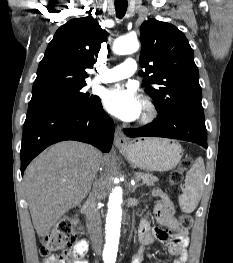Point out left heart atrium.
Returning <instances> with one entry per match:
<instances>
[{
	"mask_svg": "<svg viewBox=\"0 0 233 263\" xmlns=\"http://www.w3.org/2000/svg\"><path fill=\"white\" fill-rule=\"evenodd\" d=\"M106 110L124 121H133L142 112V100L132 87L116 85L104 95Z\"/></svg>",
	"mask_w": 233,
	"mask_h": 263,
	"instance_id": "left-heart-atrium-1",
	"label": "left heart atrium"
}]
</instances>
